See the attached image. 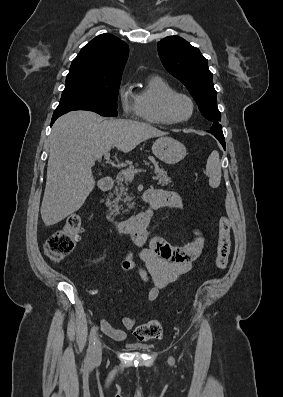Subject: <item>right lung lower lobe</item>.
Returning <instances> with one entry per match:
<instances>
[{
  "label": "right lung lower lobe",
  "mask_w": 283,
  "mask_h": 397,
  "mask_svg": "<svg viewBox=\"0 0 283 397\" xmlns=\"http://www.w3.org/2000/svg\"><path fill=\"white\" fill-rule=\"evenodd\" d=\"M67 112L63 111V112H54L53 116H52V121H51V125L55 122V120L60 117L61 115L65 114Z\"/></svg>",
  "instance_id": "right-lung-lower-lobe-1"
}]
</instances>
